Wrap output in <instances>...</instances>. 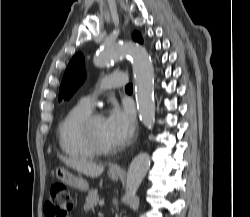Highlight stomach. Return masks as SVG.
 Here are the masks:
<instances>
[{"mask_svg":"<svg viewBox=\"0 0 250 217\" xmlns=\"http://www.w3.org/2000/svg\"><path fill=\"white\" fill-rule=\"evenodd\" d=\"M55 174L60 181L80 191H87L89 188L88 183L83 178L74 176L63 167L57 168ZM108 175L112 180H117L119 177L117 173H109Z\"/></svg>","mask_w":250,"mask_h":217,"instance_id":"1","label":"stomach"}]
</instances>
